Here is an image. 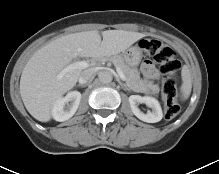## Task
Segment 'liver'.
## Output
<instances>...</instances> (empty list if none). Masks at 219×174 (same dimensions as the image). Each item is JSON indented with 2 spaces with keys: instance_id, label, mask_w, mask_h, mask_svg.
<instances>
[{
  "instance_id": "1",
  "label": "liver",
  "mask_w": 219,
  "mask_h": 174,
  "mask_svg": "<svg viewBox=\"0 0 219 174\" xmlns=\"http://www.w3.org/2000/svg\"><path fill=\"white\" fill-rule=\"evenodd\" d=\"M85 31L59 37L33 54L20 78V95L27 111L38 121L51 120L52 108L63 94L71 90L85 70L74 69L58 79L60 72L77 57L97 60L123 52L143 37L124 30ZM93 69V68H89ZM88 70V69H86Z\"/></svg>"
}]
</instances>
